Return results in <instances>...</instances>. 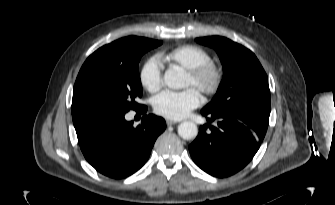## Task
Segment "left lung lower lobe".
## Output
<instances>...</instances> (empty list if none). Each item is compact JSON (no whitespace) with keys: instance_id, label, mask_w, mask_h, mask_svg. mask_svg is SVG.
I'll use <instances>...</instances> for the list:
<instances>
[{"instance_id":"left-lung-lower-lobe-1","label":"left lung lower lobe","mask_w":335,"mask_h":205,"mask_svg":"<svg viewBox=\"0 0 335 205\" xmlns=\"http://www.w3.org/2000/svg\"><path fill=\"white\" fill-rule=\"evenodd\" d=\"M202 115L208 123L189 146L194 162L221 178L244 168L258 151L269 120L246 112L202 111Z\"/></svg>"}]
</instances>
